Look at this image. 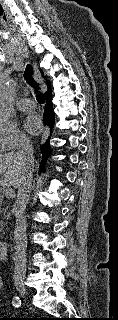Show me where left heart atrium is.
I'll return each instance as SVG.
<instances>
[{"label": "left heart atrium", "instance_id": "39dd6f15", "mask_svg": "<svg viewBox=\"0 0 118 320\" xmlns=\"http://www.w3.org/2000/svg\"><path fill=\"white\" fill-rule=\"evenodd\" d=\"M24 126L26 128V130L32 134H37L39 133L43 126H42V122L41 119L37 116V115H29L25 122H24Z\"/></svg>", "mask_w": 118, "mask_h": 320}]
</instances>
